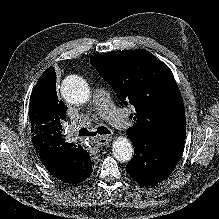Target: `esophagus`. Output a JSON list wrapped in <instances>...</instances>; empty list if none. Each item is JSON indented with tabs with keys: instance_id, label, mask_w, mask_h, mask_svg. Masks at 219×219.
Instances as JSON below:
<instances>
[{
	"instance_id": "34e87169",
	"label": "esophagus",
	"mask_w": 219,
	"mask_h": 219,
	"mask_svg": "<svg viewBox=\"0 0 219 219\" xmlns=\"http://www.w3.org/2000/svg\"><path fill=\"white\" fill-rule=\"evenodd\" d=\"M112 140V136L110 135H105V136H100L96 139L95 143L97 146H105L109 144Z\"/></svg>"
}]
</instances>
